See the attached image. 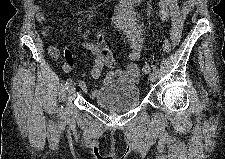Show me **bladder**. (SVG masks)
<instances>
[{"instance_id": "bladder-1", "label": "bladder", "mask_w": 225, "mask_h": 159, "mask_svg": "<svg viewBox=\"0 0 225 159\" xmlns=\"http://www.w3.org/2000/svg\"><path fill=\"white\" fill-rule=\"evenodd\" d=\"M93 101L101 108L122 113L139 104L140 90L133 82H108L95 92Z\"/></svg>"}]
</instances>
